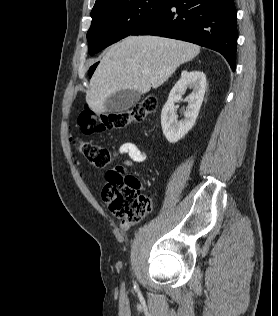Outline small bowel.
I'll use <instances>...</instances> for the list:
<instances>
[{
  "label": "small bowel",
  "mask_w": 278,
  "mask_h": 316,
  "mask_svg": "<svg viewBox=\"0 0 278 316\" xmlns=\"http://www.w3.org/2000/svg\"><path fill=\"white\" fill-rule=\"evenodd\" d=\"M117 154L119 156H122V155L128 156V159L124 160L120 164L121 166H126V167H134L136 164L143 163L147 158V154L145 150L133 142L122 143L117 150ZM121 228L124 231H127L130 228V223L123 221L121 223Z\"/></svg>",
  "instance_id": "1"
}]
</instances>
